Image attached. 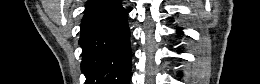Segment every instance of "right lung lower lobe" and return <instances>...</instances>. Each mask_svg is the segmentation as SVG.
<instances>
[{
  "mask_svg": "<svg viewBox=\"0 0 260 84\" xmlns=\"http://www.w3.org/2000/svg\"><path fill=\"white\" fill-rule=\"evenodd\" d=\"M121 0H89L81 21V70L86 84H129L130 30Z\"/></svg>",
  "mask_w": 260,
  "mask_h": 84,
  "instance_id": "right-lung-lower-lobe-1",
  "label": "right lung lower lobe"
}]
</instances>
